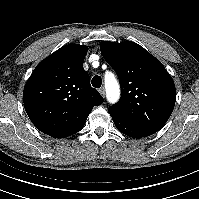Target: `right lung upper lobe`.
Listing matches in <instances>:
<instances>
[{
  "label": "right lung upper lobe",
  "mask_w": 199,
  "mask_h": 199,
  "mask_svg": "<svg viewBox=\"0 0 199 199\" xmlns=\"http://www.w3.org/2000/svg\"><path fill=\"white\" fill-rule=\"evenodd\" d=\"M87 47L68 45L42 60L27 81L23 102L32 123L43 133L64 138L80 131L102 96L83 68Z\"/></svg>",
  "instance_id": "right-lung-upper-lobe-1"
}]
</instances>
